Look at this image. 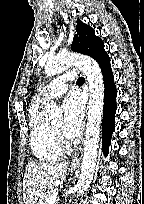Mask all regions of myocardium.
Instances as JSON below:
<instances>
[{
    "instance_id": "obj_1",
    "label": "myocardium",
    "mask_w": 144,
    "mask_h": 204,
    "mask_svg": "<svg viewBox=\"0 0 144 204\" xmlns=\"http://www.w3.org/2000/svg\"><path fill=\"white\" fill-rule=\"evenodd\" d=\"M51 128H52V131L54 133L56 141H57L59 147L61 148V150H69L70 149V143L65 140L61 131L58 130L57 128H55L54 126H51Z\"/></svg>"
}]
</instances>
